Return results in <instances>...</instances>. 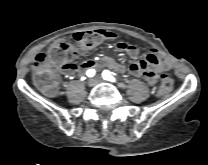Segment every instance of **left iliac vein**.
<instances>
[{
	"label": "left iliac vein",
	"mask_w": 208,
	"mask_h": 165,
	"mask_svg": "<svg viewBox=\"0 0 208 165\" xmlns=\"http://www.w3.org/2000/svg\"><path fill=\"white\" fill-rule=\"evenodd\" d=\"M95 79H96L97 83L104 82V80H103L102 78H100V77H97V78H95Z\"/></svg>",
	"instance_id": "1"
}]
</instances>
